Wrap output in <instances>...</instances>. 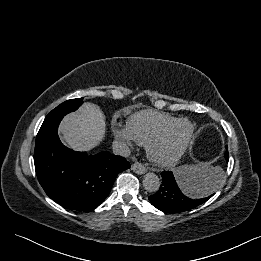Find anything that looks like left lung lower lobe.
Instances as JSON below:
<instances>
[{
	"label": "left lung lower lobe",
	"mask_w": 261,
	"mask_h": 261,
	"mask_svg": "<svg viewBox=\"0 0 261 261\" xmlns=\"http://www.w3.org/2000/svg\"><path fill=\"white\" fill-rule=\"evenodd\" d=\"M228 160V148L224 155ZM162 184L159 190L149 197L150 202L157 209L166 213H180L193 209L213 196L197 197V192L201 188L200 184L192 179L190 176L180 179L179 176L174 175L171 171H163ZM211 188L212 185L208 184ZM196 195V197H194Z\"/></svg>",
	"instance_id": "0a47b994"
}]
</instances>
